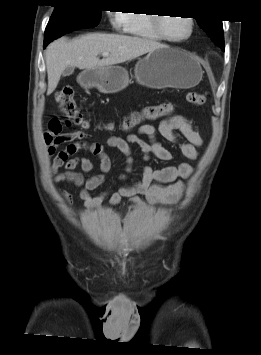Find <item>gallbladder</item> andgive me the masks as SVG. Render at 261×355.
Masks as SVG:
<instances>
[{
    "label": "gallbladder",
    "instance_id": "gallbladder-1",
    "mask_svg": "<svg viewBox=\"0 0 261 355\" xmlns=\"http://www.w3.org/2000/svg\"><path fill=\"white\" fill-rule=\"evenodd\" d=\"M73 72H74V67L73 66H68L63 71V76L64 77L70 76Z\"/></svg>",
    "mask_w": 261,
    "mask_h": 355
}]
</instances>
